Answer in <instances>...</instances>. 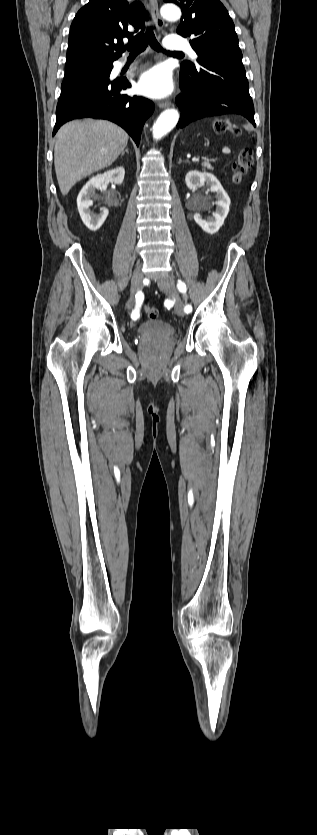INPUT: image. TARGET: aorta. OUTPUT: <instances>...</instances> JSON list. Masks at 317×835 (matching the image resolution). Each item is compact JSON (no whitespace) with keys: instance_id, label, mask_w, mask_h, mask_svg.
<instances>
[{"instance_id":"762f6f07","label":"aorta","mask_w":317,"mask_h":835,"mask_svg":"<svg viewBox=\"0 0 317 835\" xmlns=\"http://www.w3.org/2000/svg\"><path fill=\"white\" fill-rule=\"evenodd\" d=\"M161 15L166 20H177L181 16V10L174 4H166L161 8ZM179 113L175 109H167L160 114L153 125V138L161 139L169 133L177 124Z\"/></svg>"}]
</instances>
